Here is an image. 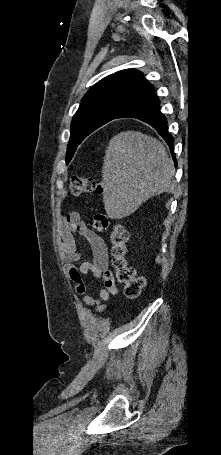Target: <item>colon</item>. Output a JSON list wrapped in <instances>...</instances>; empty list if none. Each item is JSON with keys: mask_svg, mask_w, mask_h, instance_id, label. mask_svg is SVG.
<instances>
[{"mask_svg": "<svg viewBox=\"0 0 221 455\" xmlns=\"http://www.w3.org/2000/svg\"><path fill=\"white\" fill-rule=\"evenodd\" d=\"M103 185L91 177H72L69 181V196H79L86 193L103 192ZM92 227L97 232H105L110 228V256L111 266L115 280L124 286L128 297H138L144 286L145 278L137 276L135 270L128 262V232L121 224L110 223L109 217L104 213H95L91 219Z\"/></svg>", "mask_w": 221, "mask_h": 455, "instance_id": "obj_1", "label": "colon"}]
</instances>
